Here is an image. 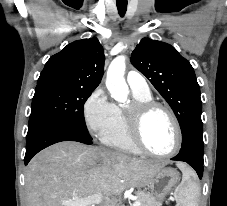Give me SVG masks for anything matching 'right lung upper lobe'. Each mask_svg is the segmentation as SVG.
<instances>
[{
	"instance_id": "obj_1",
	"label": "right lung upper lobe",
	"mask_w": 227,
	"mask_h": 206,
	"mask_svg": "<svg viewBox=\"0 0 227 206\" xmlns=\"http://www.w3.org/2000/svg\"><path fill=\"white\" fill-rule=\"evenodd\" d=\"M104 61V50L97 38L74 41L50 57L37 84L94 90L103 76Z\"/></svg>"
}]
</instances>
